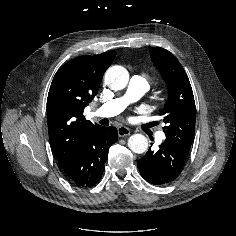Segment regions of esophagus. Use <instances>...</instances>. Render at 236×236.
<instances>
[{"label": "esophagus", "mask_w": 236, "mask_h": 236, "mask_svg": "<svg viewBox=\"0 0 236 236\" xmlns=\"http://www.w3.org/2000/svg\"><path fill=\"white\" fill-rule=\"evenodd\" d=\"M131 131L129 128L125 127V126H121L118 128V136L119 137H125L130 135Z\"/></svg>", "instance_id": "34e87169"}]
</instances>
